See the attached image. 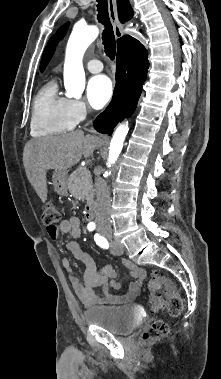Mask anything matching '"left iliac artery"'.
<instances>
[{"mask_svg": "<svg viewBox=\"0 0 221 379\" xmlns=\"http://www.w3.org/2000/svg\"><path fill=\"white\" fill-rule=\"evenodd\" d=\"M94 240L98 246H100L103 249H107L109 247V243L103 236H100L99 234H95Z\"/></svg>", "mask_w": 221, "mask_h": 379, "instance_id": "1", "label": "left iliac artery"}]
</instances>
